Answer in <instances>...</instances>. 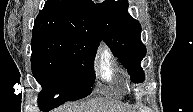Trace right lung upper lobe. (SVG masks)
Here are the masks:
<instances>
[{
	"label": "right lung upper lobe",
	"mask_w": 193,
	"mask_h": 112,
	"mask_svg": "<svg viewBox=\"0 0 193 112\" xmlns=\"http://www.w3.org/2000/svg\"><path fill=\"white\" fill-rule=\"evenodd\" d=\"M33 35L64 34L99 45L100 29L92 0H47L34 22Z\"/></svg>",
	"instance_id": "cb5924a9"
}]
</instances>
